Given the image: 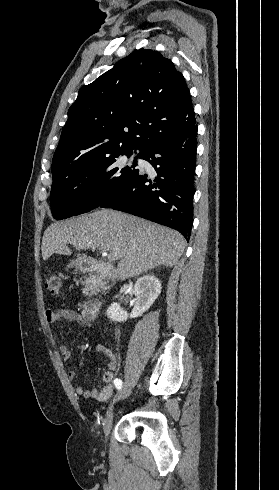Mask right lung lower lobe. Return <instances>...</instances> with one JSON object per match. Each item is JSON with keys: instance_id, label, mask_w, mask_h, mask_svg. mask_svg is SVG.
Instances as JSON below:
<instances>
[{"instance_id": "1", "label": "right lung lower lobe", "mask_w": 279, "mask_h": 490, "mask_svg": "<svg viewBox=\"0 0 279 490\" xmlns=\"http://www.w3.org/2000/svg\"><path fill=\"white\" fill-rule=\"evenodd\" d=\"M197 126L164 143L152 146L140 158L157 172L153 181L139 173L99 207L112 208L154 221L190 239Z\"/></svg>"}]
</instances>
